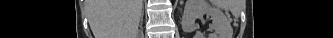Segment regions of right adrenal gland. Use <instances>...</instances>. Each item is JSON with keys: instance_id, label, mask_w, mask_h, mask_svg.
Segmentation results:
<instances>
[{"instance_id": "obj_1", "label": "right adrenal gland", "mask_w": 333, "mask_h": 38, "mask_svg": "<svg viewBox=\"0 0 333 38\" xmlns=\"http://www.w3.org/2000/svg\"><path fill=\"white\" fill-rule=\"evenodd\" d=\"M143 16H144V10L142 11V13H141V18H140V25H142V21H143Z\"/></svg>"}]
</instances>
